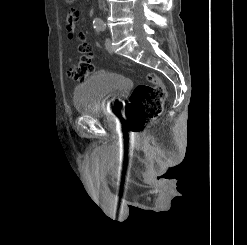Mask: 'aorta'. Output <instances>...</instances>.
<instances>
[{
    "mask_svg": "<svg viewBox=\"0 0 247 245\" xmlns=\"http://www.w3.org/2000/svg\"><path fill=\"white\" fill-rule=\"evenodd\" d=\"M100 23H102L101 19H99V18H94L93 19V24L97 25V24H100Z\"/></svg>",
    "mask_w": 247,
    "mask_h": 245,
    "instance_id": "1",
    "label": "aorta"
}]
</instances>
